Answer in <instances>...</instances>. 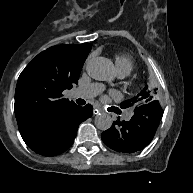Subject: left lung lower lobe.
<instances>
[{
    "mask_svg": "<svg viewBox=\"0 0 193 193\" xmlns=\"http://www.w3.org/2000/svg\"><path fill=\"white\" fill-rule=\"evenodd\" d=\"M162 113L157 101L141 105L134 110L130 121L114 122L110 129L102 133V140L118 152L142 150L153 139Z\"/></svg>",
    "mask_w": 193,
    "mask_h": 193,
    "instance_id": "left-lung-lower-lobe-1",
    "label": "left lung lower lobe"
}]
</instances>
